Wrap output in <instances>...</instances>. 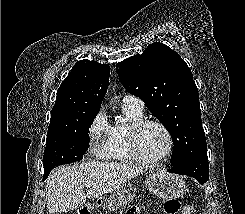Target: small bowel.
Instances as JSON below:
<instances>
[{"mask_svg": "<svg viewBox=\"0 0 245 214\" xmlns=\"http://www.w3.org/2000/svg\"><path fill=\"white\" fill-rule=\"evenodd\" d=\"M127 214H139L138 207L133 206V207L129 208V210L127 211Z\"/></svg>", "mask_w": 245, "mask_h": 214, "instance_id": "1", "label": "small bowel"}]
</instances>
